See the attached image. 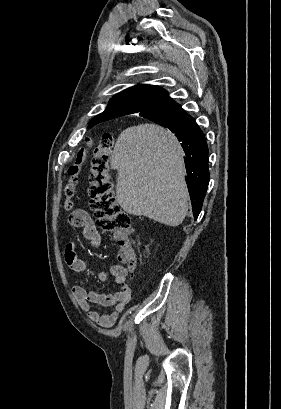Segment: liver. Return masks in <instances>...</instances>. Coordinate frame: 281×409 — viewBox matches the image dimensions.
<instances>
[{"mask_svg": "<svg viewBox=\"0 0 281 409\" xmlns=\"http://www.w3.org/2000/svg\"><path fill=\"white\" fill-rule=\"evenodd\" d=\"M182 148L158 124L129 126L119 134L111 166L118 172L116 196L129 215H144L178 227L188 211Z\"/></svg>", "mask_w": 281, "mask_h": 409, "instance_id": "6515ba94", "label": "liver"}]
</instances>
